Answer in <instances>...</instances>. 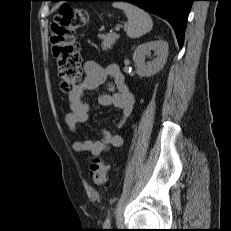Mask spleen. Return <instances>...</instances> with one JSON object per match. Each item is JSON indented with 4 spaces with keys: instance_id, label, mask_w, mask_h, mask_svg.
I'll list each match as a JSON object with an SVG mask.
<instances>
[{
    "instance_id": "obj_1",
    "label": "spleen",
    "mask_w": 231,
    "mask_h": 231,
    "mask_svg": "<svg viewBox=\"0 0 231 231\" xmlns=\"http://www.w3.org/2000/svg\"><path fill=\"white\" fill-rule=\"evenodd\" d=\"M113 7L123 10L128 19L127 36L138 38L151 31L153 22L150 15L144 10L127 2H114Z\"/></svg>"
}]
</instances>
